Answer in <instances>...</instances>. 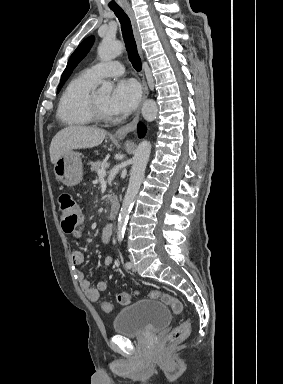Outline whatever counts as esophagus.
I'll list each match as a JSON object with an SVG mask.
<instances>
[{"label":"esophagus","instance_id":"34e87169","mask_svg":"<svg viewBox=\"0 0 283 384\" xmlns=\"http://www.w3.org/2000/svg\"><path fill=\"white\" fill-rule=\"evenodd\" d=\"M125 10H126V12L128 14V17L131 20V25H132V28H133V34H134V37H135V41H136V44H137L138 51H139V53L141 55V58H143V53H142V48H141V38H140L139 29H138L137 21H136V18H135V14H134V12H133V10H132V8L130 6H125ZM142 88H143L142 98H141L139 107H138V109L136 111V114H135L133 120L129 124H126V125H123V127H120L115 132V136L116 137H125L127 134H129V132H133L136 129L137 124L139 122V118H140L142 104L147 99L148 94H149L148 86L146 84L144 76H143V79H142Z\"/></svg>","mask_w":283,"mask_h":384}]
</instances>
